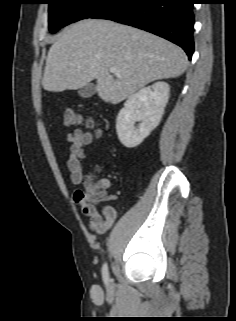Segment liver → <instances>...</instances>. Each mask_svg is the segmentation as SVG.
<instances>
[{"label":"liver","mask_w":236,"mask_h":321,"mask_svg":"<svg viewBox=\"0 0 236 321\" xmlns=\"http://www.w3.org/2000/svg\"><path fill=\"white\" fill-rule=\"evenodd\" d=\"M187 64L183 50L166 39L110 20L84 19L53 42L42 86L62 92L96 79L98 96L117 104L152 81L181 76ZM110 67L122 72L114 78Z\"/></svg>","instance_id":"1"}]
</instances>
